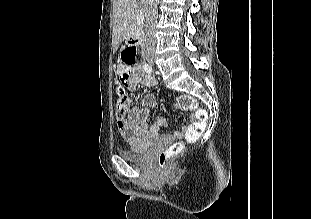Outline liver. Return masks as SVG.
Here are the masks:
<instances>
[{"instance_id": "obj_1", "label": "liver", "mask_w": 311, "mask_h": 219, "mask_svg": "<svg viewBox=\"0 0 311 219\" xmlns=\"http://www.w3.org/2000/svg\"><path fill=\"white\" fill-rule=\"evenodd\" d=\"M138 0H112L113 32L112 45L115 52L124 39L128 37L138 7Z\"/></svg>"}]
</instances>
